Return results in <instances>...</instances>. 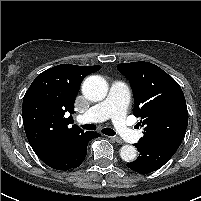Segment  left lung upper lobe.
Returning <instances> with one entry per match:
<instances>
[{"label": "left lung upper lobe", "instance_id": "obj_1", "mask_svg": "<svg viewBox=\"0 0 201 201\" xmlns=\"http://www.w3.org/2000/svg\"><path fill=\"white\" fill-rule=\"evenodd\" d=\"M130 82L135 106L133 115L144 127L140 143H181L188 125V111L180 85L158 66L144 61L118 64Z\"/></svg>", "mask_w": 201, "mask_h": 201}]
</instances>
